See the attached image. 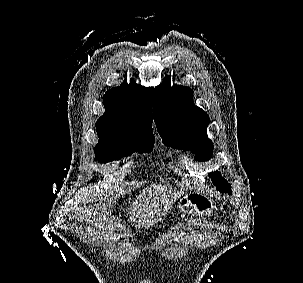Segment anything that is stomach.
<instances>
[{"label": "stomach", "mask_w": 303, "mask_h": 283, "mask_svg": "<svg viewBox=\"0 0 303 283\" xmlns=\"http://www.w3.org/2000/svg\"><path fill=\"white\" fill-rule=\"evenodd\" d=\"M177 208L182 212H192L199 216H206L214 209L213 201L206 195L192 192L179 199Z\"/></svg>", "instance_id": "stomach-1"}]
</instances>
